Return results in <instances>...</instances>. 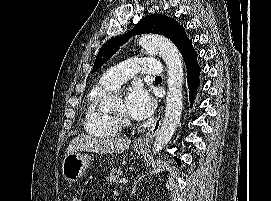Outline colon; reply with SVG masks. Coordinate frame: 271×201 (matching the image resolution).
Here are the masks:
<instances>
[{
    "label": "colon",
    "instance_id": "1",
    "mask_svg": "<svg viewBox=\"0 0 271 201\" xmlns=\"http://www.w3.org/2000/svg\"><path fill=\"white\" fill-rule=\"evenodd\" d=\"M72 201H82V199L79 195H75Z\"/></svg>",
    "mask_w": 271,
    "mask_h": 201
}]
</instances>
